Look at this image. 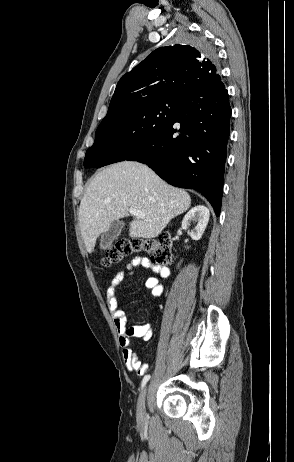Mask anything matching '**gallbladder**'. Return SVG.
<instances>
[{"instance_id":"bac80fb5","label":"gallbladder","mask_w":294,"mask_h":462,"mask_svg":"<svg viewBox=\"0 0 294 462\" xmlns=\"http://www.w3.org/2000/svg\"><path fill=\"white\" fill-rule=\"evenodd\" d=\"M124 224L120 220H115L110 228L105 231L100 238V248L107 249L111 246L112 242L121 234Z\"/></svg>"}]
</instances>
